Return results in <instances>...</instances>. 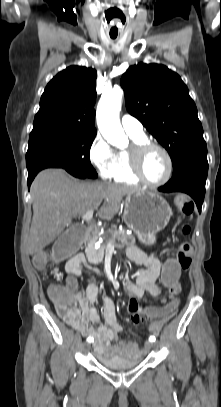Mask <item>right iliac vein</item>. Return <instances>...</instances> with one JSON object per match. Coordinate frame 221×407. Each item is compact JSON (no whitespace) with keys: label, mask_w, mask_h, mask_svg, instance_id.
<instances>
[{"label":"right iliac vein","mask_w":221,"mask_h":407,"mask_svg":"<svg viewBox=\"0 0 221 407\" xmlns=\"http://www.w3.org/2000/svg\"><path fill=\"white\" fill-rule=\"evenodd\" d=\"M89 347H90L89 343H84L83 344V349H84L85 352L89 350Z\"/></svg>","instance_id":"1"}]
</instances>
